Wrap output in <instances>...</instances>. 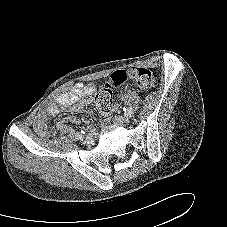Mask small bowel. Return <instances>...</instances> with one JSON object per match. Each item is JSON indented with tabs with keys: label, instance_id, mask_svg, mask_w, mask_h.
Masks as SVG:
<instances>
[{
	"label": "small bowel",
	"instance_id": "small-bowel-1",
	"mask_svg": "<svg viewBox=\"0 0 227 227\" xmlns=\"http://www.w3.org/2000/svg\"><path fill=\"white\" fill-rule=\"evenodd\" d=\"M95 91V86L90 83L76 84L69 92L60 94L54 102L49 103L36 117L34 127L38 134L42 136L49 135L47 120L50 116L57 115L62 108H68L70 112H80L84 106L89 102L88 97ZM117 109V105L112 104L109 113ZM70 121L77 123L76 119ZM65 121H59L56 128L63 127Z\"/></svg>",
	"mask_w": 227,
	"mask_h": 227
}]
</instances>
